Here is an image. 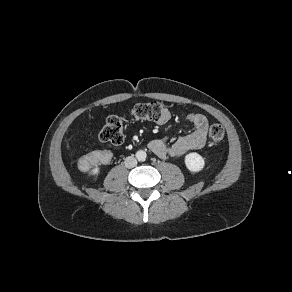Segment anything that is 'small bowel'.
I'll return each instance as SVG.
<instances>
[{"label":"small bowel","mask_w":292,"mask_h":292,"mask_svg":"<svg viewBox=\"0 0 292 292\" xmlns=\"http://www.w3.org/2000/svg\"><path fill=\"white\" fill-rule=\"evenodd\" d=\"M170 119V112L164 109L158 124L163 125ZM184 121L192 125L190 133L178 138L169 144L166 139H154L149 143L150 150L161 158L181 157L190 151L203 147L207 141L208 121L207 118L199 113L188 114ZM118 146V145H116Z\"/></svg>","instance_id":"small-bowel-1"}]
</instances>
